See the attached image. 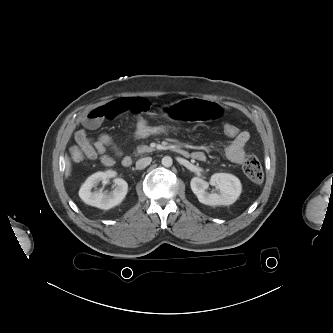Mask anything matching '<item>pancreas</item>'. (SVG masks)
<instances>
[{
    "mask_svg": "<svg viewBox=\"0 0 333 333\" xmlns=\"http://www.w3.org/2000/svg\"><path fill=\"white\" fill-rule=\"evenodd\" d=\"M149 150H150V148L146 145H142V146L137 147V152L138 153H144V152H147Z\"/></svg>",
    "mask_w": 333,
    "mask_h": 333,
    "instance_id": "cf45deb5",
    "label": "pancreas"
}]
</instances>
